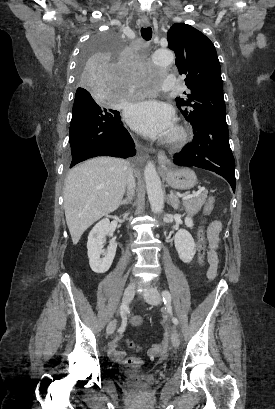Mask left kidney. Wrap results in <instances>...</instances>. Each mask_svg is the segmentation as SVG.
Instances as JSON below:
<instances>
[{
  "instance_id": "5707ae66",
  "label": "left kidney",
  "mask_w": 275,
  "mask_h": 409,
  "mask_svg": "<svg viewBox=\"0 0 275 409\" xmlns=\"http://www.w3.org/2000/svg\"><path fill=\"white\" fill-rule=\"evenodd\" d=\"M185 225L186 227H193V221L191 217H185ZM175 247L176 251L183 263H190L192 261L196 251H195V243L192 235L185 231V229H181L176 233L175 237Z\"/></svg>"
}]
</instances>
